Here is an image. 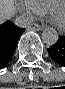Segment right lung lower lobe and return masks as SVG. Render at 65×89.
I'll return each instance as SVG.
<instances>
[{
	"instance_id": "obj_1",
	"label": "right lung lower lobe",
	"mask_w": 65,
	"mask_h": 89,
	"mask_svg": "<svg viewBox=\"0 0 65 89\" xmlns=\"http://www.w3.org/2000/svg\"><path fill=\"white\" fill-rule=\"evenodd\" d=\"M24 31L11 21L0 24V69L8 64Z\"/></svg>"
}]
</instances>
